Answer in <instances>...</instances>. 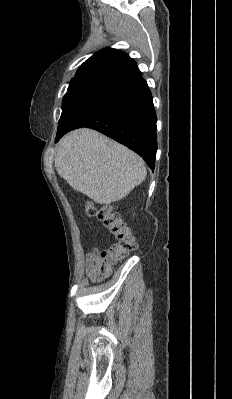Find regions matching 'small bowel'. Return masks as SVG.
I'll list each match as a JSON object with an SVG mask.
<instances>
[{
	"label": "small bowel",
	"mask_w": 232,
	"mask_h": 399,
	"mask_svg": "<svg viewBox=\"0 0 232 399\" xmlns=\"http://www.w3.org/2000/svg\"><path fill=\"white\" fill-rule=\"evenodd\" d=\"M85 276L88 279H92L94 277V254L92 252L87 254Z\"/></svg>",
	"instance_id": "obj_1"
}]
</instances>
